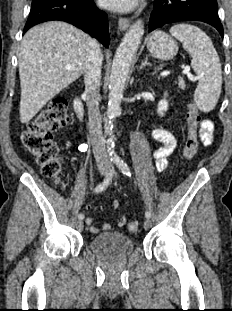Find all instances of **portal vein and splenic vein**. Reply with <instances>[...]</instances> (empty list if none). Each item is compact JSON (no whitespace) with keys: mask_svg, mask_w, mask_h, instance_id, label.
Instances as JSON below:
<instances>
[{"mask_svg":"<svg viewBox=\"0 0 232 311\" xmlns=\"http://www.w3.org/2000/svg\"><path fill=\"white\" fill-rule=\"evenodd\" d=\"M65 68L69 70V69H71V66H70V65H66ZM183 73H184V74H187L191 80H194V81L197 80V77H193V76L189 73V68H185V69L183 70ZM169 74H170V71H164V72L161 73V76L164 77V76H167V75H169Z\"/></svg>","mask_w":232,"mask_h":311,"instance_id":"1","label":"portal vein and splenic vein"}]
</instances>
